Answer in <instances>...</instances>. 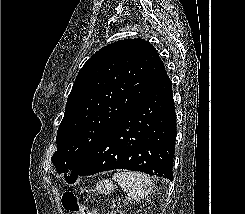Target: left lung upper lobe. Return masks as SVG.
Returning <instances> with one entry per match:
<instances>
[{
	"label": "left lung upper lobe",
	"mask_w": 245,
	"mask_h": 214,
	"mask_svg": "<svg viewBox=\"0 0 245 214\" xmlns=\"http://www.w3.org/2000/svg\"><path fill=\"white\" fill-rule=\"evenodd\" d=\"M168 78L157 50L144 39L120 40L96 52L80 69L67 99L51 158L57 172L76 167L119 119Z\"/></svg>",
	"instance_id": "1"
}]
</instances>
